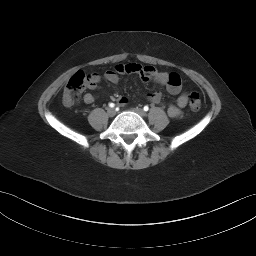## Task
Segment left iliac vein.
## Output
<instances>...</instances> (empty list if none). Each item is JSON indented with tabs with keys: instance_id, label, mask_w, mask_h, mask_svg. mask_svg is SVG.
<instances>
[{
	"instance_id": "1",
	"label": "left iliac vein",
	"mask_w": 256,
	"mask_h": 256,
	"mask_svg": "<svg viewBox=\"0 0 256 256\" xmlns=\"http://www.w3.org/2000/svg\"><path fill=\"white\" fill-rule=\"evenodd\" d=\"M133 111L136 112L137 114H139L142 117L146 116V113L141 108H134Z\"/></svg>"
}]
</instances>
